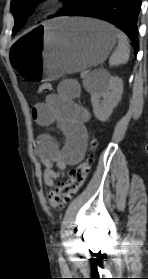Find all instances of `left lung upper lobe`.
Wrapping results in <instances>:
<instances>
[{
	"label": "left lung upper lobe",
	"mask_w": 148,
	"mask_h": 279,
	"mask_svg": "<svg viewBox=\"0 0 148 279\" xmlns=\"http://www.w3.org/2000/svg\"><path fill=\"white\" fill-rule=\"evenodd\" d=\"M43 0H11L10 10L15 18V26L13 28V34L18 31L24 24L27 15L32 13V8L37 3ZM68 7L72 6L76 0H63ZM54 17L53 15L49 18Z\"/></svg>",
	"instance_id": "1"
}]
</instances>
